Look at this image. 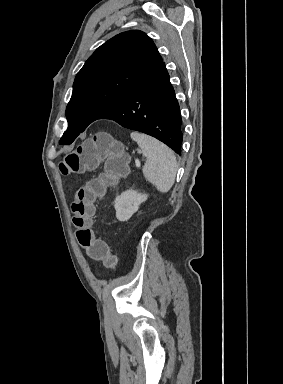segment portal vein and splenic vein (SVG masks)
<instances>
[{
	"label": "portal vein and splenic vein",
	"instance_id": "18ae733b",
	"mask_svg": "<svg viewBox=\"0 0 283 384\" xmlns=\"http://www.w3.org/2000/svg\"><path fill=\"white\" fill-rule=\"evenodd\" d=\"M136 168H140V162L139 160H135Z\"/></svg>",
	"mask_w": 283,
	"mask_h": 384
}]
</instances>
